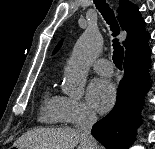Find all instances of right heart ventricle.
Returning a JSON list of instances; mask_svg holds the SVG:
<instances>
[{
	"label": "right heart ventricle",
	"instance_id": "obj_1",
	"mask_svg": "<svg viewBox=\"0 0 155 149\" xmlns=\"http://www.w3.org/2000/svg\"><path fill=\"white\" fill-rule=\"evenodd\" d=\"M39 120L47 124L62 122L61 97L52 94L49 90L45 92L41 107Z\"/></svg>",
	"mask_w": 155,
	"mask_h": 149
}]
</instances>
